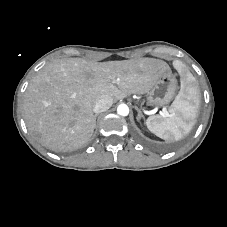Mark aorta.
Here are the masks:
<instances>
[{
	"mask_svg": "<svg viewBox=\"0 0 227 227\" xmlns=\"http://www.w3.org/2000/svg\"><path fill=\"white\" fill-rule=\"evenodd\" d=\"M117 113L120 115V116H127L129 114V108L127 105L125 104H120L118 107H117Z\"/></svg>",
	"mask_w": 227,
	"mask_h": 227,
	"instance_id": "762f6f07",
	"label": "aorta"
}]
</instances>
